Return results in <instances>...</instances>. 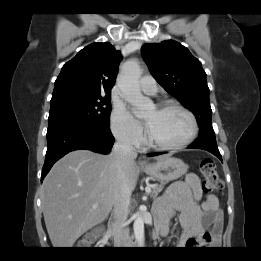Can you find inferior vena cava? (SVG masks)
<instances>
[{"mask_svg":"<svg viewBox=\"0 0 261 261\" xmlns=\"http://www.w3.org/2000/svg\"><path fill=\"white\" fill-rule=\"evenodd\" d=\"M115 172V191L113 209L114 242L127 246L129 230L126 228L129 213L131 191L128 188L125 176L126 166L137 157V152L132 143L124 138H119L113 146Z\"/></svg>","mask_w":261,"mask_h":261,"instance_id":"602c4592","label":"inferior vena cava"}]
</instances>
